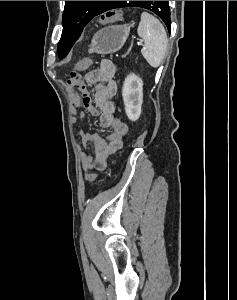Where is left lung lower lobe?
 I'll return each mask as SVG.
<instances>
[{
	"instance_id": "obj_1",
	"label": "left lung lower lobe",
	"mask_w": 237,
	"mask_h": 300,
	"mask_svg": "<svg viewBox=\"0 0 237 300\" xmlns=\"http://www.w3.org/2000/svg\"><path fill=\"white\" fill-rule=\"evenodd\" d=\"M168 1H160V8L163 9L166 6H168ZM115 8H120V1H111L105 8V11L111 10V9H115ZM170 32V29H169Z\"/></svg>"
}]
</instances>
